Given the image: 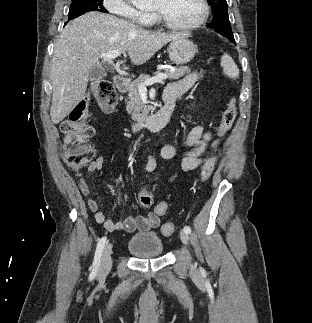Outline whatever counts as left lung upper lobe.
<instances>
[{
  "label": "left lung upper lobe",
  "instance_id": "obj_1",
  "mask_svg": "<svg viewBox=\"0 0 312 323\" xmlns=\"http://www.w3.org/2000/svg\"><path fill=\"white\" fill-rule=\"evenodd\" d=\"M208 3L212 7L214 17L212 21L208 23L207 27L214 29L227 38L234 39L228 17L226 0H208Z\"/></svg>",
  "mask_w": 312,
  "mask_h": 323
}]
</instances>
